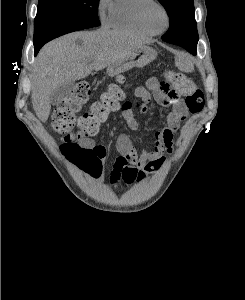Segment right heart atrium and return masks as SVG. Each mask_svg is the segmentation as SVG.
<instances>
[{
	"label": "right heart atrium",
	"instance_id": "d8ad5b80",
	"mask_svg": "<svg viewBox=\"0 0 245 300\" xmlns=\"http://www.w3.org/2000/svg\"><path fill=\"white\" fill-rule=\"evenodd\" d=\"M112 0H98L96 5L97 15L102 23L108 22Z\"/></svg>",
	"mask_w": 245,
	"mask_h": 300
}]
</instances>
